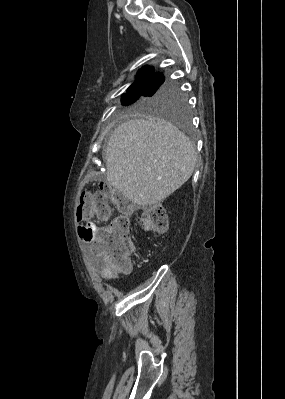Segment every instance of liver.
<instances>
[{"label":"liver","mask_w":285,"mask_h":399,"mask_svg":"<svg viewBox=\"0 0 285 399\" xmlns=\"http://www.w3.org/2000/svg\"><path fill=\"white\" fill-rule=\"evenodd\" d=\"M107 181L132 203L165 200L192 175L196 149L191 140L162 119H130L111 134L103 156Z\"/></svg>","instance_id":"6515ba94"}]
</instances>
